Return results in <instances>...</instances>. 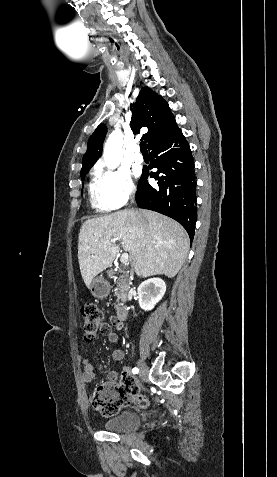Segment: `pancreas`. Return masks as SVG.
<instances>
[{
	"mask_svg": "<svg viewBox=\"0 0 277 477\" xmlns=\"http://www.w3.org/2000/svg\"><path fill=\"white\" fill-rule=\"evenodd\" d=\"M118 288L115 293L117 296L118 305H116V309L120 308V301L125 302L127 300V291H128V282L124 276H121L118 281L116 282Z\"/></svg>",
	"mask_w": 277,
	"mask_h": 477,
	"instance_id": "pancreas-1",
	"label": "pancreas"
}]
</instances>
